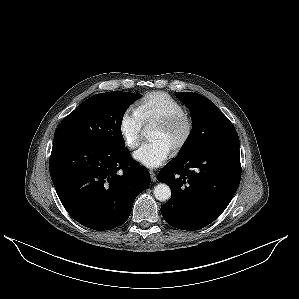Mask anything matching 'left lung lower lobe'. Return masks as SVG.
Masks as SVG:
<instances>
[{"mask_svg": "<svg viewBox=\"0 0 299 299\" xmlns=\"http://www.w3.org/2000/svg\"><path fill=\"white\" fill-rule=\"evenodd\" d=\"M158 180L172 190L161 207L171 226L194 231L213 222L228 206L241 178L238 134L209 145L197 155L175 158Z\"/></svg>", "mask_w": 299, "mask_h": 299, "instance_id": "obj_1", "label": "left lung lower lobe"}]
</instances>
